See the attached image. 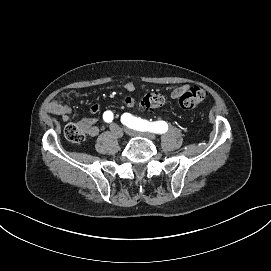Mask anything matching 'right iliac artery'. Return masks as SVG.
<instances>
[{"mask_svg":"<svg viewBox=\"0 0 271 271\" xmlns=\"http://www.w3.org/2000/svg\"><path fill=\"white\" fill-rule=\"evenodd\" d=\"M103 119L105 122H112L113 120V113L111 111H106L103 114Z\"/></svg>","mask_w":271,"mask_h":271,"instance_id":"right-iliac-artery-1","label":"right iliac artery"}]
</instances>
